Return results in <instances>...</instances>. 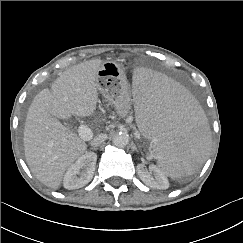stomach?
I'll list each match as a JSON object with an SVG mask.
<instances>
[{
	"label": "stomach",
	"instance_id": "0dacf381",
	"mask_svg": "<svg viewBox=\"0 0 243 243\" xmlns=\"http://www.w3.org/2000/svg\"><path fill=\"white\" fill-rule=\"evenodd\" d=\"M97 89L119 116L125 117L129 114L131 110L130 85L119 64L113 61L102 63L97 72Z\"/></svg>",
	"mask_w": 243,
	"mask_h": 243
}]
</instances>
